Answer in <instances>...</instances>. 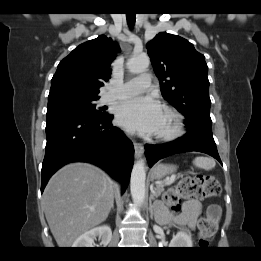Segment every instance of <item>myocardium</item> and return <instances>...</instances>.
Here are the masks:
<instances>
[{
	"instance_id": "1",
	"label": "myocardium",
	"mask_w": 261,
	"mask_h": 261,
	"mask_svg": "<svg viewBox=\"0 0 261 261\" xmlns=\"http://www.w3.org/2000/svg\"><path fill=\"white\" fill-rule=\"evenodd\" d=\"M165 115H167L171 120V128L166 132L158 133L157 138L166 142L176 140L184 132L183 116L172 109H167Z\"/></svg>"
}]
</instances>
